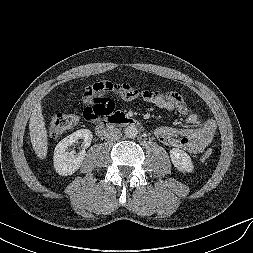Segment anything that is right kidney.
<instances>
[{
	"label": "right kidney",
	"instance_id": "obj_1",
	"mask_svg": "<svg viewBox=\"0 0 253 253\" xmlns=\"http://www.w3.org/2000/svg\"><path fill=\"white\" fill-rule=\"evenodd\" d=\"M93 135L88 129H80L62 139L55 147L54 168L59 175L68 176L76 172L82 165L86 151L81 150L78 155L68 151L69 147L78 139L84 140V147L88 148L92 142Z\"/></svg>",
	"mask_w": 253,
	"mask_h": 253
}]
</instances>
